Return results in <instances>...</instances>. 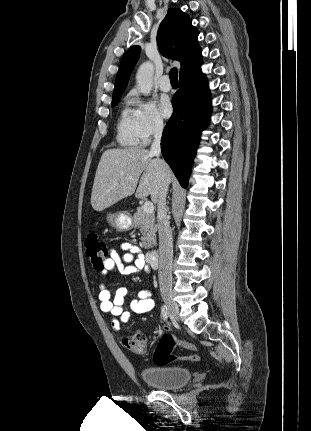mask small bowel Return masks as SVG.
Segmentation results:
<instances>
[{
	"mask_svg": "<svg viewBox=\"0 0 311 431\" xmlns=\"http://www.w3.org/2000/svg\"><path fill=\"white\" fill-rule=\"evenodd\" d=\"M120 248L126 252L119 254L117 251L112 250L104 262V268L101 271L102 275L107 276L114 271L130 275L146 269L145 257L140 253L137 246L122 243ZM127 294L128 290L121 287L112 296L104 284L100 285L98 295L100 309L102 312L110 313L113 316L112 327L116 331H120L121 324L129 321L133 314L147 313L155 307L152 292L150 290H140L136 297L130 301L129 310H123Z\"/></svg>",
	"mask_w": 311,
	"mask_h": 431,
	"instance_id": "small-bowel-1",
	"label": "small bowel"
}]
</instances>
